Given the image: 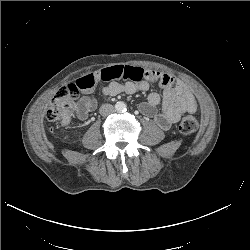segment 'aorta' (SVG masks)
Segmentation results:
<instances>
[{
  "instance_id": "obj_1",
  "label": "aorta",
  "mask_w": 250,
  "mask_h": 250,
  "mask_svg": "<svg viewBox=\"0 0 250 250\" xmlns=\"http://www.w3.org/2000/svg\"><path fill=\"white\" fill-rule=\"evenodd\" d=\"M126 109H127V105L123 101H118L115 104V111H117L118 113H123L126 111Z\"/></svg>"
}]
</instances>
